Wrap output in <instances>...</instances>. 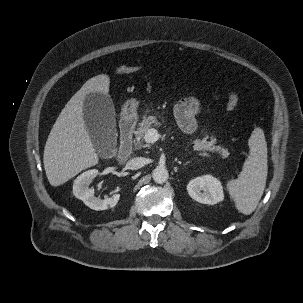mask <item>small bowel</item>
Returning a JSON list of instances; mask_svg holds the SVG:
<instances>
[{"instance_id":"1","label":"small bowel","mask_w":303,"mask_h":303,"mask_svg":"<svg viewBox=\"0 0 303 303\" xmlns=\"http://www.w3.org/2000/svg\"><path fill=\"white\" fill-rule=\"evenodd\" d=\"M200 110L201 105L194 97L185 98L176 104L174 109L175 118L185 133L191 134L196 131V117Z\"/></svg>"}]
</instances>
